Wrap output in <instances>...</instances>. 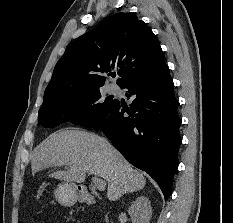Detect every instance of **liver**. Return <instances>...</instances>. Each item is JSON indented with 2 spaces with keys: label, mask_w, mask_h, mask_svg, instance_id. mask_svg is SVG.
<instances>
[{
  "label": "liver",
  "mask_w": 233,
  "mask_h": 223,
  "mask_svg": "<svg viewBox=\"0 0 233 223\" xmlns=\"http://www.w3.org/2000/svg\"><path fill=\"white\" fill-rule=\"evenodd\" d=\"M34 151L33 175L42 169L62 165L68 167L53 171L50 177L82 185L86 175H98L107 181L109 201H116L123 193L137 191L145 185L143 171L133 169L107 139L92 131H81L79 127H65L63 131L51 133Z\"/></svg>",
  "instance_id": "obj_1"
}]
</instances>
